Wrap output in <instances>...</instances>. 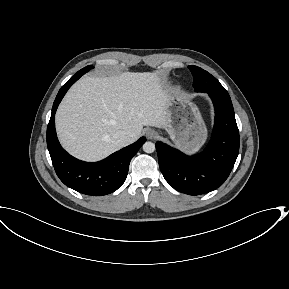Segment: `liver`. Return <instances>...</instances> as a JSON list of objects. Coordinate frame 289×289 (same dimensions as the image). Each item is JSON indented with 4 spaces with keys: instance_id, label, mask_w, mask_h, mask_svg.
<instances>
[{
    "instance_id": "1",
    "label": "liver",
    "mask_w": 289,
    "mask_h": 289,
    "mask_svg": "<svg viewBox=\"0 0 289 289\" xmlns=\"http://www.w3.org/2000/svg\"><path fill=\"white\" fill-rule=\"evenodd\" d=\"M169 95L157 73L81 78L56 112L57 135L73 156L100 160L135 142L143 126L166 129ZM118 131L127 134L124 146L114 138Z\"/></svg>"
}]
</instances>
